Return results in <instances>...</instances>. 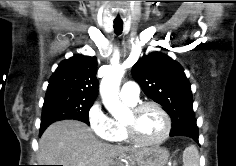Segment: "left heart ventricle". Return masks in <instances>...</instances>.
Here are the masks:
<instances>
[{"mask_svg":"<svg viewBox=\"0 0 236 166\" xmlns=\"http://www.w3.org/2000/svg\"><path fill=\"white\" fill-rule=\"evenodd\" d=\"M125 121L132 122L138 137L144 141L158 139L164 131V119L159 111L153 107L145 108L136 117L130 113Z\"/></svg>","mask_w":236,"mask_h":166,"instance_id":"b2bd125f","label":"left heart ventricle"}]
</instances>
